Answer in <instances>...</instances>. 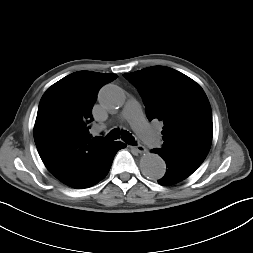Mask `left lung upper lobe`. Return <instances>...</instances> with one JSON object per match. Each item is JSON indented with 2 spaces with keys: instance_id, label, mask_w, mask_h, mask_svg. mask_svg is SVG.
I'll return each instance as SVG.
<instances>
[{
  "instance_id": "5c2ea615",
  "label": "left lung upper lobe",
  "mask_w": 253,
  "mask_h": 253,
  "mask_svg": "<svg viewBox=\"0 0 253 253\" xmlns=\"http://www.w3.org/2000/svg\"><path fill=\"white\" fill-rule=\"evenodd\" d=\"M124 77L138 88L148 120L164 124L160 150L204 161L212 142V111L203 89L165 66L148 67Z\"/></svg>"
}]
</instances>
